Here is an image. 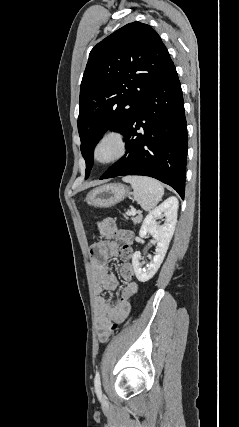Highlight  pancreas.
Returning a JSON list of instances; mask_svg holds the SVG:
<instances>
[{
	"label": "pancreas",
	"instance_id": "pancreas-1",
	"mask_svg": "<svg viewBox=\"0 0 239 427\" xmlns=\"http://www.w3.org/2000/svg\"><path fill=\"white\" fill-rule=\"evenodd\" d=\"M126 218H128L127 216H125ZM132 219V221H133V223L134 224H137V223H140L141 222V220H142V216L141 215H139V216H137V217H133V218H131Z\"/></svg>",
	"mask_w": 239,
	"mask_h": 427
}]
</instances>
